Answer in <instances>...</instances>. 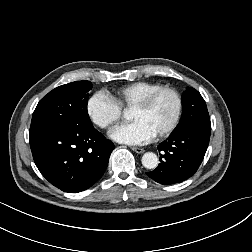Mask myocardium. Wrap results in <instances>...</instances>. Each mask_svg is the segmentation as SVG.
I'll return each instance as SVG.
<instances>
[{"instance_id":"obj_1","label":"myocardium","mask_w":252,"mask_h":252,"mask_svg":"<svg viewBox=\"0 0 252 252\" xmlns=\"http://www.w3.org/2000/svg\"><path fill=\"white\" fill-rule=\"evenodd\" d=\"M165 92L171 93L175 97L176 111H175L174 117H173L172 121L170 122V124L165 129H163L162 131H160L159 133H157L155 135L158 138H164V137H167L168 135H170L179 123V120H180L181 114H182V110H183V99H182L180 92L173 87L163 86V87L149 93L141 101H139L138 103H136L132 107V109H142V110L147 109L152 105V103L155 101V99L159 95H161L162 93H165Z\"/></svg>"}]
</instances>
